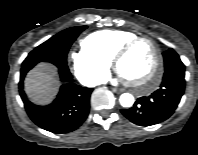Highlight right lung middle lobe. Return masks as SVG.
<instances>
[{"mask_svg":"<svg viewBox=\"0 0 198 155\" xmlns=\"http://www.w3.org/2000/svg\"><path fill=\"white\" fill-rule=\"evenodd\" d=\"M86 28L87 26H77L63 30L31 51L23 63L44 59H56L66 62L71 44Z\"/></svg>","mask_w":198,"mask_h":155,"instance_id":"dd1d6c3e","label":"right lung middle lobe"}]
</instances>
